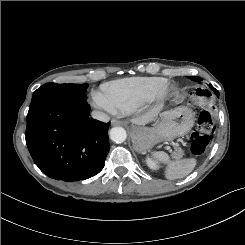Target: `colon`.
<instances>
[{
  "instance_id": "5ec220e1",
  "label": "colon",
  "mask_w": 245,
  "mask_h": 245,
  "mask_svg": "<svg viewBox=\"0 0 245 245\" xmlns=\"http://www.w3.org/2000/svg\"><path fill=\"white\" fill-rule=\"evenodd\" d=\"M214 132V125L209 111H202L198 117L197 128L191 136V152L194 155L205 153L210 136Z\"/></svg>"
}]
</instances>
